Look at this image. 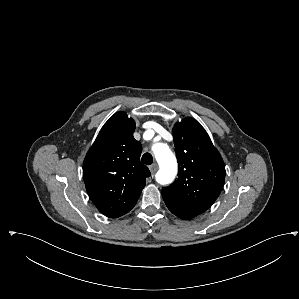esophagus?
Here are the masks:
<instances>
[{
    "label": "esophagus",
    "mask_w": 299,
    "mask_h": 299,
    "mask_svg": "<svg viewBox=\"0 0 299 299\" xmlns=\"http://www.w3.org/2000/svg\"><path fill=\"white\" fill-rule=\"evenodd\" d=\"M151 173H155L158 169V165L156 163L149 166Z\"/></svg>",
    "instance_id": "obj_1"
}]
</instances>
